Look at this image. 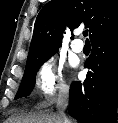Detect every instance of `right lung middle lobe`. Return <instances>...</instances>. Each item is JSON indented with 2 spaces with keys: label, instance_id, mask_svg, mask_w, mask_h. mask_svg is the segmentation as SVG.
Segmentation results:
<instances>
[{
  "label": "right lung middle lobe",
  "instance_id": "right-lung-middle-lobe-1",
  "mask_svg": "<svg viewBox=\"0 0 118 123\" xmlns=\"http://www.w3.org/2000/svg\"><path fill=\"white\" fill-rule=\"evenodd\" d=\"M52 55H49V56H46V57L39 59L31 67L25 69L24 76L22 78L19 90L15 96V99L30 95V93H31V91L35 85V79H36L37 71L39 70L40 66L44 62H46Z\"/></svg>",
  "mask_w": 118,
  "mask_h": 123
}]
</instances>
